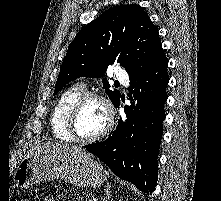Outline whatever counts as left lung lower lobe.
<instances>
[{"mask_svg":"<svg viewBox=\"0 0 221 201\" xmlns=\"http://www.w3.org/2000/svg\"><path fill=\"white\" fill-rule=\"evenodd\" d=\"M167 66L168 59L163 54L142 74L130 78L128 90L132 101L124 107L126 120L120 119L105 141L84 146L115 175L147 194L154 191L158 177L157 158L168 98ZM119 104L120 99L115 107Z\"/></svg>","mask_w":221,"mask_h":201,"instance_id":"left-lung-lower-lobe-1","label":"left lung lower lobe"}]
</instances>
